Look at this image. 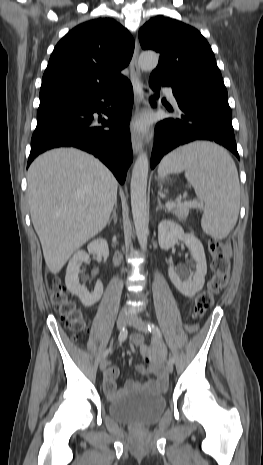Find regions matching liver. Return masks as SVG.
<instances>
[{"mask_svg":"<svg viewBox=\"0 0 263 465\" xmlns=\"http://www.w3.org/2000/svg\"><path fill=\"white\" fill-rule=\"evenodd\" d=\"M27 182L46 266L58 274L75 251L105 228L118 182L98 159L74 148L53 149L36 158Z\"/></svg>","mask_w":263,"mask_h":465,"instance_id":"1","label":"liver"}]
</instances>
